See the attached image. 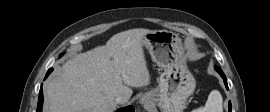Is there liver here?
Here are the masks:
<instances>
[{"label":"liver","instance_id":"1","mask_svg":"<svg viewBox=\"0 0 270 112\" xmlns=\"http://www.w3.org/2000/svg\"><path fill=\"white\" fill-rule=\"evenodd\" d=\"M150 31H123L104 46L75 54L46 84L45 112H114L117 95L128 101L131 87L150 84L143 51Z\"/></svg>","mask_w":270,"mask_h":112}]
</instances>
